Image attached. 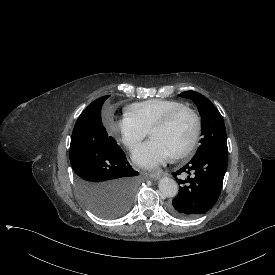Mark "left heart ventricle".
<instances>
[{"mask_svg":"<svg viewBox=\"0 0 275 275\" xmlns=\"http://www.w3.org/2000/svg\"><path fill=\"white\" fill-rule=\"evenodd\" d=\"M193 131L192 118L188 113L177 116L173 123L164 129H155L151 132L152 139L164 144L174 155L189 141Z\"/></svg>","mask_w":275,"mask_h":275,"instance_id":"1","label":"left heart ventricle"}]
</instances>
